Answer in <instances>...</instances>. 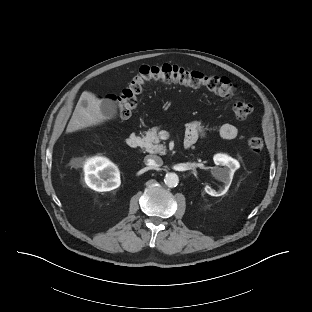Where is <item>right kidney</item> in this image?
I'll return each mask as SVG.
<instances>
[{"mask_svg": "<svg viewBox=\"0 0 312 312\" xmlns=\"http://www.w3.org/2000/svg\"><path fill=\"white\" fill-rule=\"evenodd\" d=\"M84 172L86 184L95 191H110L120 186L117 166L104 157H95L87 161Z\"/></svg>", "mask_w": 312, "mask_h": 312, "instance_id": "obj_1", "label": "right kidney"}]
</instances>
